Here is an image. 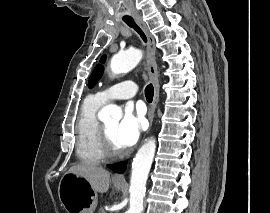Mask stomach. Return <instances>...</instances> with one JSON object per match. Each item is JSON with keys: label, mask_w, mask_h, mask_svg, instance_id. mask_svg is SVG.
<instances>
[{"label": "stomach", "mask_w": 270, "mask_h": 213, "mask_svg": "<svg viewBox=\"0 0 270 213\" xmlns=\"http://www.w3.org/2000/svg\"><path fill=\"white\" fill-rule=\"evenodd\" d=\"M116 189L123 185L115 184ZM58 196L61 206L67 213H94L97 206V195L90 184L81 176L65 173L59 182Z\"/></svg>", "instance_id": "0dacf381"}]
</instances>
